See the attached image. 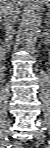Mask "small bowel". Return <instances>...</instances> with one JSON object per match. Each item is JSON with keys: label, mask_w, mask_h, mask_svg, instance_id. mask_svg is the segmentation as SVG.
Masks as SVG:
<instances>
[{"label": "small bowel", "mask_w": 50, "mask_h": 148, "mask_svg": "<svg viewBox=\"0 0 50 148\" xmlns=\"http://www.w3.org/2000/svg\"><path fill=\"white\" fill-rule=\"evenodd\" d=\"M14 147H15V148H21L22 146H21V144H20L19 142H16V143L14 144Z\"/></svg>", "instance_id": "obj_1"}]
</instances>
